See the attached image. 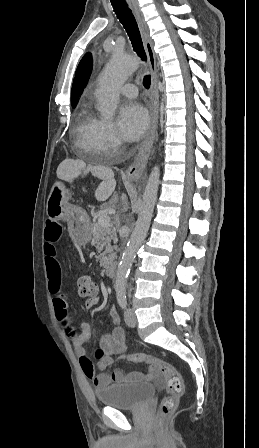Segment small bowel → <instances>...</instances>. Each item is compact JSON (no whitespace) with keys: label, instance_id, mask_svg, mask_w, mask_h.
<instances>
[{"label":"small bowel","instance_id":"obj_1","mask_svg":"<svg viewBox=\"0 0 259 448\" xmlns=\"http://www.w3.org/2000/svg\"><path fill=\"white\" fill-rule=\"evenodd\" d=\"M63 227L59 221L48 220L44 229V260L49 280L50 292L53 295V306L56 318L59 321L62 330L72 341L76 355L84 374L94 383L96 388H103L112 383L143 382L158 377V370L155 365L148 364L147 372H132L125 374L119 369L111 373L98 372V369H104L113 363L112 356L123 354L126 351L124 341V330L120 326L118 313L110 310V317L116 328L110 334L104 335L100 340V348L104 350L105 356L96 367L88 358L85 343L90 339L92 328L89 322L81 324L78 332L72 324L68 311L67 298L63 292L61 280V266L58 259L57 244L62 235ZM99 302V296L94 295L85 301V312H89Z\"/></svg>","mask_w":259,"mask_h":448}]
</instances>
